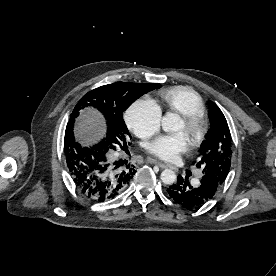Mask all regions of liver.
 <instances>
[{
    "mask_svg": "<svg viewBox=\"0 0 276 276\" xmlns=\"http://www.w3.org/2000/svg\"><path fill=\"white\" fill-rule=\"evenodd\" d=\"M104 131V121L101 119L99 113L92 109L80 113L74 129L77 140L84 145L97 142L102 138Z\"/></svg>",
    "mask_w": 276,
    "mask_h": 276,
    "instance_id": "1",
    "label": "liver"
}]
</instances>
